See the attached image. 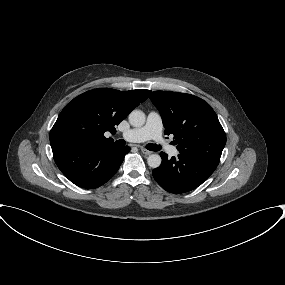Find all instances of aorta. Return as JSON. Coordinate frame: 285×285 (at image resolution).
<instances>
[{
    "label": "aorta",
    "instance_id": "obj_1",
    "mask_svg": "<svg viewBox=\"0 0 285 285\" xmlns=\"http://www.w3.org/2000/svg\"><path fill=\"white\" fill-rule=\"evenodd\" d=\"M146 116L141 110H133L129 114V123L134 127H141L145 124ZM162 159L158 154H152L148 157L147 163L151 168H158L161 165Z\"/></svg>",
    "mask_w": 285,
    "mask_h": 285
}]
</instances>
